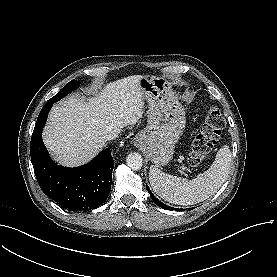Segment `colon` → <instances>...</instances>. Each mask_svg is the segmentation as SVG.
<instances>
[{
    "label": "colon",
    "instance_id": "colon-1",
    "mask_svg": "<svg viewBox=\"0 0 277 277\" xmlns=\"http://www.w3.org/2000/svg\"><path fill=\"white\" fill-rule=\"evenodd\" d=\"M224 126L225 120L219 107L216 105L208 106L205 112L204 122L198 134L191 142L190 152L188 154V163L191 166L196 167L208 158Z\"/></svg>",
    "mask_w": 277,
    "mask_h": 277
}]
</instances>
